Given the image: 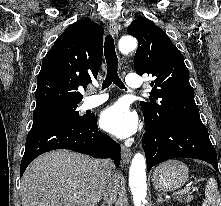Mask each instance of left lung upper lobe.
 Returning a JSON list of instances; mask_svg holds the SVG:
<instances>
[{"mask_svg": "<svg viewBox=\"0 0 221 206\" xmlns=\"http://www.w3.org/2000/svg\"><path fill=\"white\" fill-rule=\"evenodd\" d=\"M127 31L139 43L134 58L135 71L155 78L148 96L151 103L141 102L149 129L203 124L183 56L166 33L146 18L135 19Z\"/></svg>", "mask_w": 221, "mask_h": 206, "instance_id": "5c2ea615", "label": "left lung upper lobe"}]
</instances>
